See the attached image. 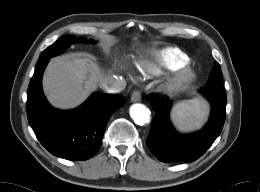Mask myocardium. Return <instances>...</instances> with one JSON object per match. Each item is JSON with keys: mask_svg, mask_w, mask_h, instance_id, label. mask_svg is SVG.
Returning <instances> with one entry per match:
<instances>
[{"mask_svg": "<svg viewBox=\"0 0 260 192\" xmlns=\"http://www.w3.org/2000/svg\"><path fill=\"white\" fill-rule=\"evenodd\" d=\"M193 78V70L189 67H184L179 69L174 75H172L165 82L163 88L166 91H174L191 82Z\"/></svg>", "mask_w": 260, "mask_h": 192, "instance_id": "obj_1", "label": "myocardium"}]
</instances>
